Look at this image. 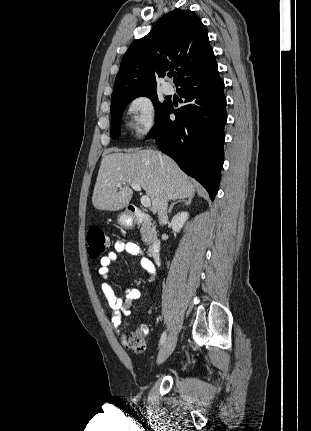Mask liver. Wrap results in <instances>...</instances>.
Segmentation results:
<instances>
[{
  "instance_id": "liver-1",
  "label": "liver",
  "mask_w": 311,
  "mask_h": 431,
  "mask_svg": "<svg viewBox=\"0 0 311 431\" xmlns=\"http://www.w3.org/2000/svg\"><path fill=\"white\" fill-rule=\"evenodd\" d=\"M104 156L99 168L92 204L102 212H119L129 206L133 190L129 184H138L152 202V212L157 214L162 194L167 200L194 198L195 186L180 170L178 164L154 150L131 152L114 150ZM122 186H117V184ZM125 182V184H123Z\"/></svg>"
}]
</instances>
